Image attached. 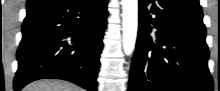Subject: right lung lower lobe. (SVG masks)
Returning a JSON list of instances; mask_svg holds the SVG:
<instances>
[{"label":"right lung lower lobe","instance_id":"1","mask_svg":"<svg viewBox=\"0 0 220 91\" xmlns=\"http://www.w3.org/2000/svg\"><path fill=\"white\" fill-rule=\"evenodd\" d=\"M108 0H43L27 5L15 91L43 78L96 91Z\"/></svg>","mask_w":220,"mask_h":91}]
</instances>
